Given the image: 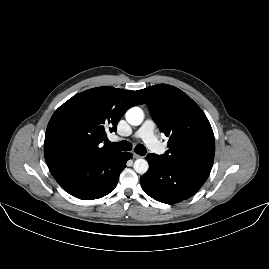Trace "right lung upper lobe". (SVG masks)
Wrapping results in <instances>:
<instances>
[{
  "mask_svg": "<svg viewBox=\"0 0 269 269\" xmlns=\"http://www.w3.org/2000/svg\"><path fill=\"white\" fill-rule=\"evenodd\" d=\"M143 104L134 91L97 87L81 92L52 115L45 134L44 156L49 166L58 162L90 160L114 152L103 146L124 113Z\"/></svg>",
  "mask_w": 269,
  "mask_h": 269,
  "instance_id": "right-lung-upper-lobe-1",
  "label": "right lung upper lobe"
}]
</instances>
